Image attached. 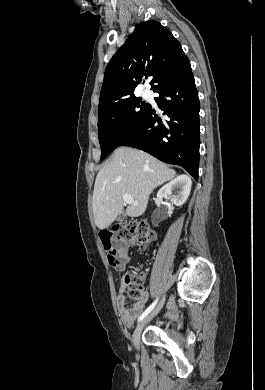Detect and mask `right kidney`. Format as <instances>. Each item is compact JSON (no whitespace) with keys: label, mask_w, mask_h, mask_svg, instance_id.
Wrapping results in <instances>:
<instances>
[{"label":"right kidney","mask_w":265,"mask_h":390,"mask_svg":"<svg viewBox=\"0 0 265 390\" xmlns=\"http://www.w3.org/2000/svg\"><path fill=\"white\" fill-rule=\"evenodd\" d=\"M191 185V179L187 175H180L163 186L159 190L157 197L158 199L168 197L174 205L181 206L189 197ZM173 191H175L174 194Z\"/></svg>","instance_id":"right-kidney-1"}]
</instances>
